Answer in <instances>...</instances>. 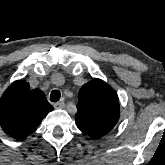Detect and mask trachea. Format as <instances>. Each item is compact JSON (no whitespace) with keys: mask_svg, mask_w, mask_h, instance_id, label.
<instances>
[{"mask_svg":"<svg viewBox=\"0 0 165 165\" xmlns=\"http://www.w3.org/2000/svg\"><path fill=\"white\" fill-rule=\"evenodd\" d=\"M61 97V93L58 90H53L50 94V101L57 102Z\"/></svg>","mask_w":165,"mask_h":165,"instance_id":"obj_1","label":"trachea"}]
</instances>
